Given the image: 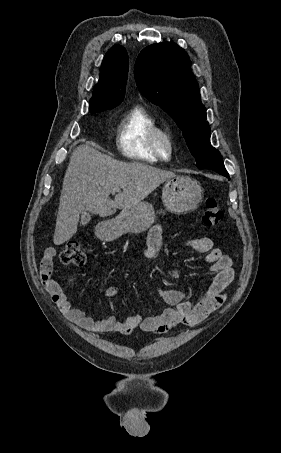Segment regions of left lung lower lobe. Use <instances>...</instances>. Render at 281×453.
<instances>
[{"instance_id":"0a47b994","label":"left lung lower lobe","mask_w":281,"mask_h":453,"mask_svg":"<svg viewBox=\"0 0 281 453\" xmlns=\"http://www.w3.org/2000/svg\"><path fill=\"white\" fill-rule=\"evenodd\" d=\"M217 173H219V174H221V175H223V176L229 178V174H228V172H227L226 170H224V171H218Z\"/></svg>"}]
</instances>
